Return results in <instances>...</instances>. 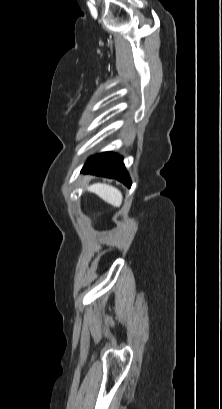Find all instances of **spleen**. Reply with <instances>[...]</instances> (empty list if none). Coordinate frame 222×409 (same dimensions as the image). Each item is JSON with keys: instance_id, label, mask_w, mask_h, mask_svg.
<instances>
[{"instance_id": "obj_1", "label": "spleen", "mask_w": 222, "mask_h": 409, "mask_svg": "<svg viewBox=\"0 0 222 409\" xmlns=\"http://www.w3.org/2000/svg\"><path fill=\"white\" fill-rule=\"evenodd\" d=\"M89 192L95 193L105 202L109 203L114 207H120L122 204V194L121 192L110 185L96 183L87 188Z\"/></svg>"}]
</instances>
